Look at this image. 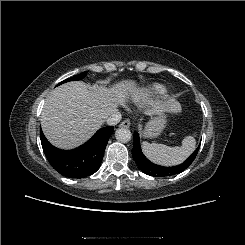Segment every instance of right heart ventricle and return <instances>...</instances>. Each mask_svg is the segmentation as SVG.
Segmentation results:
<instances>
[{
	"label": "right heart ventricle",
	"instance_id": "obj_1",
	"mask_svg": "<svg viewBox=\"0 0 245 245\" xmlns=\"http://www.w3.org/2000/svg\"><path fill=\"white\" fill-rule=\"evenodd\" d=\"M150 92L154 94L162 95L166 92V90L163 86L156 84L150 88Z\"/></svg>",
	"mask_w": 245,
	"mask_h": 245
}]
</instances>
